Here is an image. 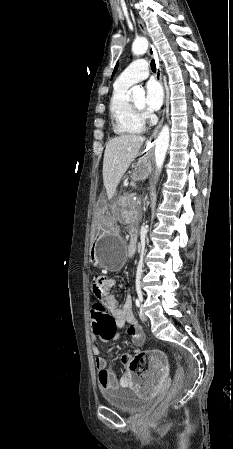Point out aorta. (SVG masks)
Here are the masks:
<instances>
[{
	"mask_svg": "<svg viewBox=\"0 0 233 449\" xmlns=\"http://www.w3.org/2000/svg\"><path fill=\"white\" fill-rule=\"evenodd\" d=\"M148 49V41L147 39L141 37L134 41L132 45V51L135 55H143L146 53ZM131 92L133 96H144L145 91L143 88L139 86H134L131 88ZM170 141V129L168 125H164L159 132L156 145H155V163L157 167V171H161L163 166L166 152L169 146Z\"/></svg>",
	"mask_w": 233,
	"mask_h": 449,
	"instance_id": "aorta-1",
	"label": "aorta"
}]
</instances>
